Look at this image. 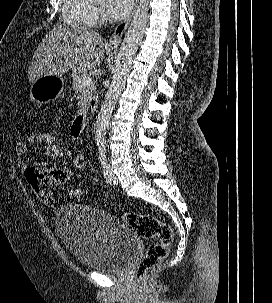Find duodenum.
<instances>
[{"label":"duodenum","instance_id":"1","mask_svg":"<svg viewBox=\"0 0 272 303\" xmlns=\"http://www.w3.org/2000/svg\"><path fill=\"white\" fill-rule=\"evenodd\" d=\"M94 109H95V103H93L90 106L91 111ZM87 116H88V110H83L78 113V115L76 116V118L74 120V128H75L76 132H80L83 129Z\"/></svg>","mask_w":272,"mask_h":303}]
</instances>
